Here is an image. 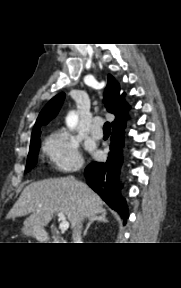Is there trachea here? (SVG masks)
<instances>
[{
	"mask_svg": "<svg viewBox=\"0 0 181 288\" xmlns=\"http://www.w3.org/2000/svg\"><path fill=\"white\" fill-rule=\"evenodd\" d=\"M103 130L110 132V130H111V124H110L109 122H105V124H104V126H103Z\"/></svg>",
	"mask_w": 181,
	"mask_h": 288,
	"instance_id": "3493384b",
	"label": "trachea"
}]
</instances>
